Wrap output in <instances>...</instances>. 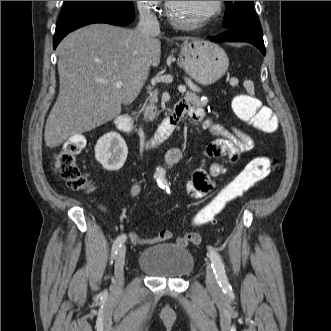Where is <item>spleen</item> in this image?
I'll return each instance as SVG.
<instances>
[{
	"label": "spleen",
	"mask_w": 331,
	"mask_h": 331,
	"mask_svg": "<svg viewBox=\"0 0 331 331\" xmlns=\"http://www.w3.org/2000/svg\"><path fill=\"white\" fill-rule=\"evenodd\" d=\"M245 86L250 94L254 93V85L251 82L246 81Z\"/></svg>",
	"instance_id": "1"
}]
</instances>
